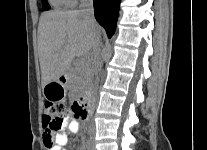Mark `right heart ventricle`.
Returning a JSON list of instances; mask_svg holds the SVG:
<instances>
[{"mask_svg": "<svg viewBox=\"0 0 207 150\" xmlns=\"http://www.w3.org/2000/svg\"><path fill=\"white\" fill-rule=\"evenodd\" d=\"M52 5L57 8L70 7L74 4L73 0H50Z\"/></svg>", "mask_w": 207, "mask_h": 150, "instance_id": "right-heart-ventricle-1", "label": "right heart ventricle"}]
</instances>
